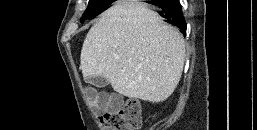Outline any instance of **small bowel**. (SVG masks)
I'll use <instances>...</instances> for the list:
<instances>
[{"mask_svg":"<svg viewBox=\"0 0 257 130\" xmlns=\"http://www.w3.org/2000/svg\"><path fill=\"white\" fill-rule=\"evenodd\" d=\"M88 99L91 105L99 111L114 109L121 103V98L116 94H109L105 92L98 93L94 90L88 94Z\"/></svg>","mask_w":257,"mask_h":130,"instance_id":"c3829d8e","label":"small bowel"}]
</instances>
